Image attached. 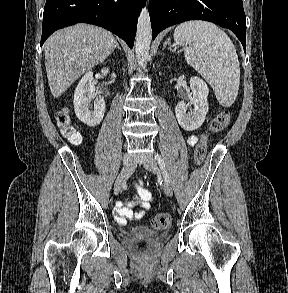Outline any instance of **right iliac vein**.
Returning <instances> with one entry per match:
<instances>
[{"mask_svg": "<svg viewBox=\"0 0 288 293\" xmlns=\"http://www.w3.org/2000/svg\"><path fill=\"white\" fill-rule=\"evenodd\" d=\"M124 156H128V155H124ZM129 159H130V157H129ZM132 170H133V162L130 159V166L128 167V169L124 170L122 167L121 172L119 173V175L115 181V184H114L115 195H117L120 192L122 186L124 185V183L126 182L128 177L130 176V174L132 173Z\"/></svg>", "mask_w": 288, "mask_h": 293, "instance_id": "1", "label": "right iliac vein"}]
</instances>
